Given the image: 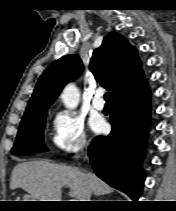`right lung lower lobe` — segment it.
<instances>
[{
	"label": "right lung lower lobe",
	"mask_w": 176,
	"mask_h": 211,
	"mask_svg": "<svg viewBox=\"0 0 176 211\" xmlns=\"http://www.w3.org/2000/svg\"><path fill=\"white\" fill-rule=\"evenodd\" d=\"M110 123L109 136H98L89 146L92 168L110 186L137 201L145 179L141 162L150 125L147 83L132 95L113 102Z\"/></svg>",
	"instance_id": "98d812e1"
}]
</instances>
